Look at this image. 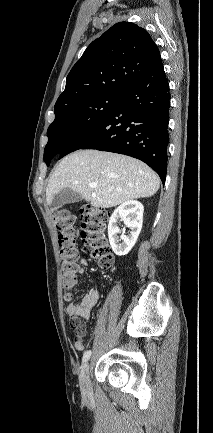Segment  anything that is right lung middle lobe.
<instances>
[{"label": "right lung middle lobe", "instance_id": "right-lung-middle-lobe-1", "mask_svg": "<svg viewBox=\"0 0 213 433\" xmlns=\"http://www.w3.org/2000/svg\"><path fill=\"white\" fill-rule=\"evenodd\" d=\"M121 95L100 94L79 100L56 110L55 120L47 131L44 161L50 165L72 142L100 123L117 105Z\"/></svg>", "mask_w": 213, "mask_h": 433}]
</instances>
